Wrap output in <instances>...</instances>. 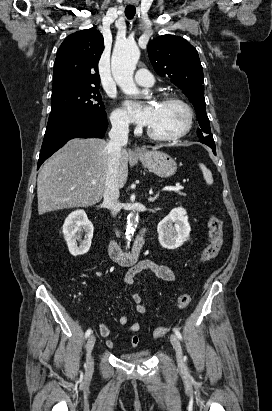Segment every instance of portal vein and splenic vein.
Segmentation results:
<instances>
[{
  "instance_id": "portal-vein-and-splenic-vein-1",
  "label": "portal vein and splenic vein",
  "mask_w": 272,
  "mask_h": 411,
  "mask_svg": "<svg viewBox=\"0 0 272 411\" xmlns=\"http://www.w3.org/2000/svg\"><path fill=\"white\" fill-rule=\"evenodd\" d=\"M93 184H95V183H93ZM180 189H182V186L179 185V184H176L175 186H165V187L163 188L164 191H171V190H173V191H178V190H180Z\"/></svg>"
}]
</instances>
